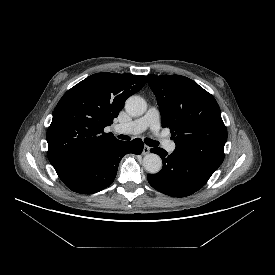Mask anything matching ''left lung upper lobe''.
Here are the masks:
<instances>
[{"instance_id":"1","label":"left lung upper lobe","mask_w":275,"mask_h":275,"mask_svg":"<svg viewBox=\"0 0 275 275\" xmlns=\"http://www.w3.org/2000/svg\"><path fill=\"white\" fill-rule=\"evenodd\" d=\"M163 127H169L175 152L214 172L224 159L227 129L214 97L181 75L149 74Z\"/></svg>"}]
</instances>
